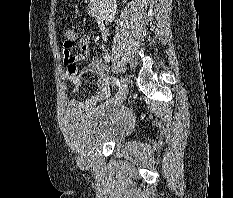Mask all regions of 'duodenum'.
Instances as JSON below:
<instances>
[{
    "instance_id": "410a0bca",
    "label": "duodenum",
    "mask_w": 233,
    "mask_h": 198,
    "mask_svg": "<svg viewBox=\"0 0 233 198\" xmlns=\"http://www.w3.org/2000/svg\"><path fill=\"white\" fill-rule=\"evenodd\" d=\"M87 11L91 17L102 20V0H89Z\"/></svg>"
}]
</instances>
